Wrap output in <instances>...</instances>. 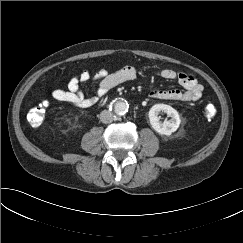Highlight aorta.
Here are the masks:
<instances>
[{"label":"aorta","instance_id":"762f6f07","mask_svg":"<svg viewBox=\"0 0 243 243\" xmlns=\"http://www.w3.org/2000/svg\"><path fill=\"white\" fill-rule=\"evenodd\" d=\"M113 109L116 115L123 116L128 112L129 104L125 100H119L115 102Z\"/></svg>","mask_w":243,"mask_h":243}]
</instances>
